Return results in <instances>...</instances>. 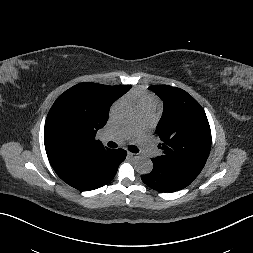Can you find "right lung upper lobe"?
<instances>
[{
    "label": "right lung upper lobe",
    "instance_id": "right-lung-upper-lobe-1",
    "mask_svg": "<svg viewBox=\"0 0 253 253\" xmlns=\"http://www.w3.org/2000/svg\"><path fill=\"white\" fill-rule=\"evenodd\" d=\"M131 85L80 83L62 93L51 107L44 127V144L53 168L108 150L95 139L109 108Z\"/></svg>",
    "mask_w": 253,
    "mask_h": 253
}]
</instances>
